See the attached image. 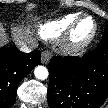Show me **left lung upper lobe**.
<instances>
[{
	"label": "left lung upper lobe",
	"mask_w": 108,
	"mask_h": 108,
	"mask_svg": "<svg viewBox=\"0 0 108 108\" xmlns=\"http://www.w3.org/2000/svg\"><path fill=\"white\" fill-rule=\"evenodd\" d=\"M106 22H107V28H106V30L104 32V36H103V39L102 40L108 39V21H106Z\"/></svg>",
	"instance_id": "obj_1"
}]
</instances>
